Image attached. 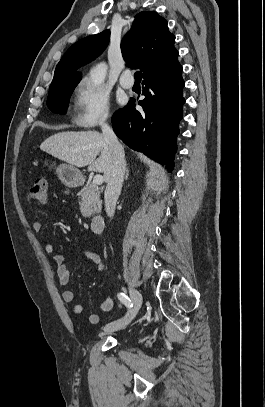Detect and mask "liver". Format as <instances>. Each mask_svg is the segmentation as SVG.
<instances>
[{"mask_svg": "<svg viewBox=\"0 0 265 407\" xmlns=\"http://www.w3.org/2000/svg\"><path fill=\"white\" fill-rule=\"evenodd\" d=\"M40 149L71 166H88L90 171L103 173L105 181L112 170V150L103 134L97 131L57 133L47 138Z\"/></svg>", "mask_w": 265, "mask_h": 407, "instance_id": "obj_1", "label": "liver"}]
</instances>
